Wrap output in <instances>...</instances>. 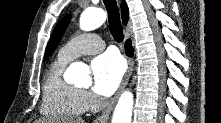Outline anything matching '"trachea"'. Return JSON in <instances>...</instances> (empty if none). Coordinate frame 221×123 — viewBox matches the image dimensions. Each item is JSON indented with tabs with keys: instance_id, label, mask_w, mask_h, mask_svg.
Instances as JSON below:
<instances>
[{
	"instance_id": "obj_1",
	"label": "trachea",
	"mask_w": 221,
	"mask_h": 123,
	"mask_svg": "<svg viewBox=\"0 0 221 123\" xmlns=\"http://www.w3.org/2000/svg\"><path fill=\"white\" fill-rule=\"evenodd\" d=\"M108 12V22L110 33L117 42L123 41V29L120 22L119 9L116 0H103Z\"/></svg>"
}]
</instances>
